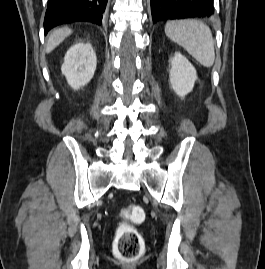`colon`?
<instances>
[{"label": "colon", "mask_w": 265, "mask_h": 269, "mask_svg": "<svg viewBox=\"0 0 265 269\" xmlns=\"http://www.w3.org/2000/svg\"><path fill=\"white\" fill-rule=\"evenodd\" d=\"M126 217L133 223H140L144 220V211L139 205H130L125 209ZM142 240L139 232L130 224L123 223L116 233L115 252L128 261L138 259L142 253Z\"/></svg>", "instance_id": "5ec220e1"}]
</instances>
